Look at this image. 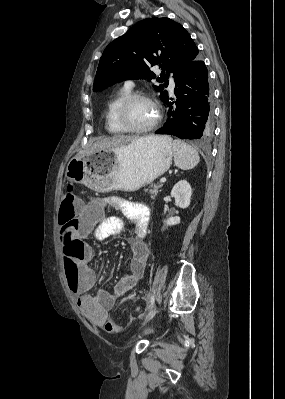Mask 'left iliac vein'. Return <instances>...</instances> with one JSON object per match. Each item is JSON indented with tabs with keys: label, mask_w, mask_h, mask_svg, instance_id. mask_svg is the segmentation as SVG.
I'll use <instances>...</instances> for the list:
<instances>
[{
	"label": "left iliac vein",
	"mask_w": 285,
	"mask_h": 399,
	"mask_svg": "<svg viewBox=\"0 0 285 399\" xmlns=\"http://www.w3.org/2000/svg\"><path fill=\"white\" fill-rule=\"evenodd\" d=\"M158 312V308L154 307L145 317L143 324L148 323L149 321H151L153 319V317L157 314Z\"/></svg>",
	"instance_id": "obj_1"
}]
</instances>
